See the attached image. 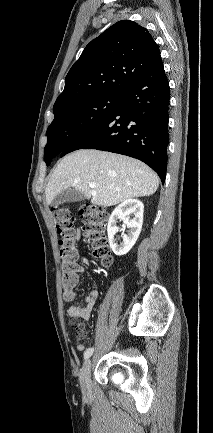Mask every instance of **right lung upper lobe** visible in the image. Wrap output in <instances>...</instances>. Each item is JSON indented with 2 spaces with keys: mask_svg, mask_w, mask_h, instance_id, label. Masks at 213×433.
<instances>
[{
  "mask_svg": "<svg viewBox=\"0 0 213 433\" xmlns=\"http://www.w3.org/2000/svg\"><path fill=\"white\" fill-rule=\"evenodd\" d=\"M159 58L147 29L130 20L118 21L85 47L69 70L53 111L97 95H122Z\"/></svg>",
  "mask_w": 213,
  "mask_h": 433,
  "instance_id": "1",
  "label": "right lung upper lobe"
}]
</instances>
